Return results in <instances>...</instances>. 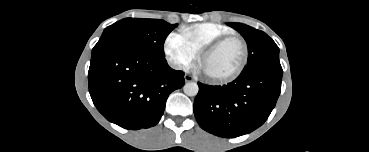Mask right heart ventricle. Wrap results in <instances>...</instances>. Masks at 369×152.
I'll return each mask as SVG.
<instances>
[{"label":"right heart ventricle","instance_id":"e07e8e85","mask_svg":"<svg viewBox=\"0 0 369 152\" xmlns=\"http://www.w3.org/2000/svg\"><path fill=\"white\" fill-rule=\"evenodd\" d=\"M180 32L197 54L214 40L233 34L231 28L214 22L195 23L183 27Z\"/></svg>","mask_w":369,"mask_h":152}]
</instances>
